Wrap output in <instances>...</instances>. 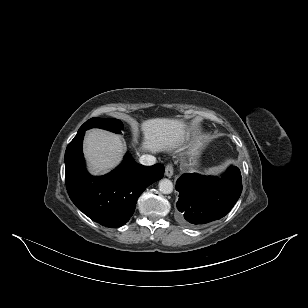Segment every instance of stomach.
<instances>
[{
  "mask_svg": "<svg viewBox=\"0 0 308 308\" xmlns=\"http://www.w3.org/2000/svg\"><path fill=\"white\" fill-rule=\"evenodd\" d=\"M190 162L192 166H195L197 164V149L194 147L193 149H191L190 151Z\"/></svg>",
  "mask_w": 308,
  "mask_h": 308,
  "instance_id": "obj_1",
  "label": "stomach"
}]
</instances>
